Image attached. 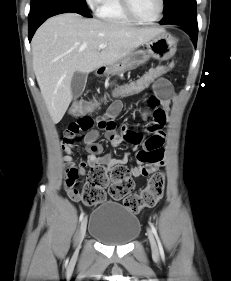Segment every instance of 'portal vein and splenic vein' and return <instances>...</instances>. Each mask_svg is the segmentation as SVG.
I'll return each mask as SVG.
<instances>
[{"instance_id": "1", "label": "portal vein and splenic vein", "mask_w": 231, "mask_h": 281, "mask_svg": "<svg viewBox=\"0 0 231 281\" xmlns=\"http://www.w3.org/2000/svg\"><path fill=\"white\" fill-rule=\"evenodd\" d=\"M106 44H101V45H99V49H104V48H106Z\"/></svg>"}]
</instances>
